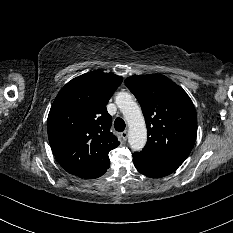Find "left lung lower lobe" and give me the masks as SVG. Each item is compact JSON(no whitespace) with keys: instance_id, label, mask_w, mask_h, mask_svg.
<instances>
[{"instance_id":"0a47b994","label":"left lung lower lobe","mask_w":233,"mask_h":233,"mask_svg":"<svg viewBox=\"0 0 233 233\" xmlns=\"http://www.w3.org/2000/svg\"><path fill=\"white\" fill-rule=\"evenodd\" d=\"M136 169L147 177L161 178L174 172L180 165L143 152L133 153Z\"/></svg>"}]
</instances>
